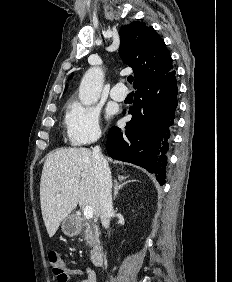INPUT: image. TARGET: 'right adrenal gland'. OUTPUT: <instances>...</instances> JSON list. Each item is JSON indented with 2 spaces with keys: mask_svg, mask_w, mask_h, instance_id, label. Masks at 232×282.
I'll use <instances>...</instances> for the list:
<instances>
[{
  "mask_svg": "<svg viewBox=\"0 0 232 282\" xmlns=\"http://www.w3.org/2000/svg\"><path fill=\"white\" fill-rule=\"evenodd\" d=\"M127 178H128V177H125V176H118V179H115V180H114V195H113V200L116 199L119 190H121V189L124 187V185H126V184H128V183H130V182L136 181V180H127V181H125ZM118 181H120V182L124 181V182L121 183V184H119Z\"/></svg>",
  "mask_w": 232,
  "mask_h": 282,
  "instance_id": "right-adrenal-gland-1",
  "label": "right adrenal gland"
}]
</instances>
